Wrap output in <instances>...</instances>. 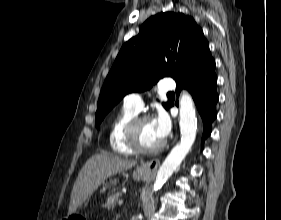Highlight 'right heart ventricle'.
Instances as JSON below:
<instances>
[{
  "label": "right heart ventricle",
  "instance_id": "right-heart-ventricle-1",
  "mask_svg": "<svg viewBox=\"0 0 281 220\" xmlns=\"http://www.w3.org/2000/svg\"><path fill=\"white\" fill-rule=\"evenodd\" d=\"M137 115L136 110L124 104L113 119L108 133V142L114 153L121 156H131L135 153L125 141V130L129 122Z\"/></svg>",
  "mask_w": 281,
  "mask_h": 220
}]
</instances>
